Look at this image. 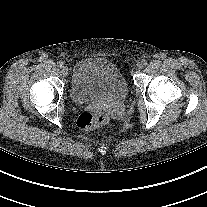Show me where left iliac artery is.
<instances>
[{"label":"left iliac artery","instance_id":"left-iliac-artery-1","mask_svg":"<svg viewBox=\"0 0 207 207\" xmlns=\"http://www.w3.org/2000/svg\"><path fill=\"white\" fill-rule=\"evenodd\" d=\"M142 63H143L144 66H146L147 65V60L143 59Z\"/></svg>","mask_w":207,"mask_h":207}]
</instances>
